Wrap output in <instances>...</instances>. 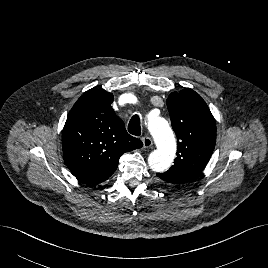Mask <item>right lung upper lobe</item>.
<instances>
[{
	"instance_id": "cb5924a9",
	"label": "right lung upper lobe",
	"mask_w": 268,
	"mask_h": 268,
	"mask_svg": "<svg viewBox=\"0 0 268 268\" xmlns=\"http://www.w3.org/2000/svg\"><path fill=\"white\" fill-rule=\"evenodd\" d=\"M112 102V93L93 88L77 100L68 114L62 134L63 158L81 182L96 185L107 180L123 153L143 146L127 133Z\"/></svg>"
}]
</instances>
